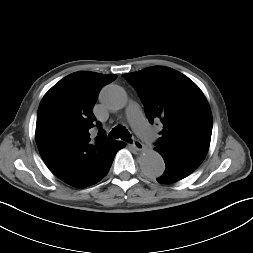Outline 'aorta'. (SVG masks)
Masks as SVG:
<instances>
[{
  "label": "aorta",
  "instance_id": "obj_1",
  "mask_svg": "<svg viewBox=\"0 0 253 253\" xmlns=\"http://www.w3.org/2000/svg\"><path fill=\"white\" fill-rule=\"evenodd\" d=\"M102 105L110 111L123 109L128 102L126 91L118 85L105 86L99 96ZM139 165L144 174L149 177H159L165 170V163L162 156L154 151L147 150L139 157Z\"/></svg>",
  "mask_w": 253,
  "mask_h": 253
}]
</instances>
